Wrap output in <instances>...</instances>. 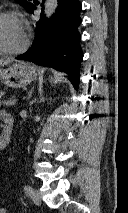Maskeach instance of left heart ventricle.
I'll list each match as a JSON object with an SVG mask.
<instances>
[{
	"label": "left heart ventricle",
	"instance_id": "b2bd125f",
	"mask_svg": "<svg viewBox=\"0 0 128 213\" xmlns=\"http://www.w3.org/2000/svg\"><path fill=\"white\" fill-rule=\"evenodd\" d=\"M26 31L22 22L17 18H5L0 21V46L15 49L22 45Z\"/></svg>",
	"mask_w": 128,
	"mask_h": 213
}]
</instances>
